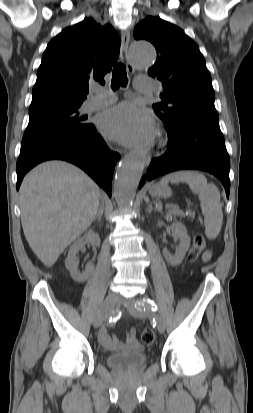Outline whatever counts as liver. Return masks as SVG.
<instances>
[{"label":"liver","instance_id":"liver-1","mask_svg":"<svg viewBox=\"0 0 253 413\" xmlns=\"http://www.w3.org/2000/svg\"><path fill=\"white\" fill-rule=\"evenodd\" d=\"M100 196L87 174L64 161L44 162L24 177L19 190L21 223L30 248L45 266H53L91 225Z\"/></svg>","mask_w":253,"mask_h":413}]
</instances>
